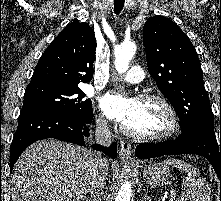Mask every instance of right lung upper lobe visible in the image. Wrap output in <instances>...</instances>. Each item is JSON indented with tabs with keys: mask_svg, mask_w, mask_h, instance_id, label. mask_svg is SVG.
Listing matches in <instances>:
<instances>
[{
	"mask_svg": "<svg viewBox=\"0 0 221 201\" xmlns=\"http://www.w3.org/2000/svg\"><path fill=\"white\" fill-rule=\"evenodd\" d=\"M96 39L87 23L74 21L61 31L42 54L29 87L79 88L93 77Z\"/></svg>",
	"mask_w": 221,
	"mask_h": 201,
	"instance_id": "1",
	"label": "right lung upper lobe"
}]
</instances>
